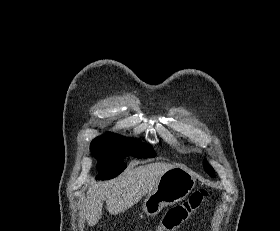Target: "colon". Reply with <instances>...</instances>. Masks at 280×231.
Listing matches in <instances>:
<instances>
[{
	"label": "colon",
	"instance_id": "1",
	"mask_svg": "<svg viewBox=\"0 0 280 231\" xmlns=\"http://www.w3.org/2000/svg\"><path fill=\"white\" fill-rule=\"evenodd\" d=\"M207 195L208 193L206 191L199 190L176 208H170L167 212V220H162L163 227L160 231L180 230V225H187V220H194L195 216L190 214L199 212L198 208L206 199Z\"/></svg>",
	"mask_w": 280,
	"mask_h": 231
}]
</instances>
